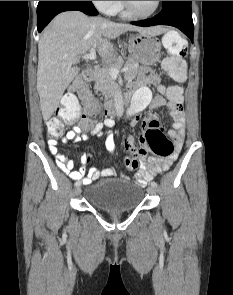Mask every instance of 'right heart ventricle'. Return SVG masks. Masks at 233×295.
<instances>
[{
  "instance_id": "e07e8e85",
  "label": "right heart ventricle",
  "mask_w": 233,
  "mask_h": 295,
  "mask_svg": "<svg viewBox=\"0 0 233 295\" xmlns=\"http://www.w3.org/2000/svg\"><path fill=\"white\" fill-rule=\"evenodd\" d=\"M111 14H118L119 16L124 17V18L129 17V15L125 11L121 1H117L116 6Z\"/></svg>"
}]
</instances>
